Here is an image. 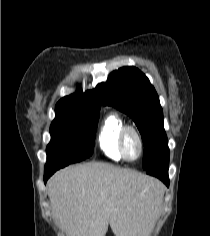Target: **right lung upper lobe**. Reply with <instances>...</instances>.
I'll list each match as a JSON object with an SVG mask.
<instances>
[{"label": "right lung upper lobe", "instance_id": "right-lung-upper-lobe-1", "mask_svg": "<svg viewBox=\"0 0 210 236\" xmlns=\"http://www.w3.org/2000/svg\"><path fill=\"white\" fill-rule=\"evenodd\" d=\"M103 84H99L95 89L85 93L77 91L74 94L63 97L56 105L57 110H69L74 112H84L100 110Z\"/></svg>", "mask_w": 210, "mask_h": 236}]
</instances>
